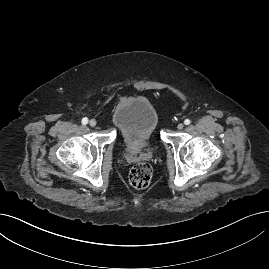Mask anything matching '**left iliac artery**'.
I'll use <instances>...</instances> for the list:
<instances>
[{
  "label": "left iliac artery",
  "mask_w": 269,
  "mask_h": 269,
  "mask_svg": "<svg viewBox=\"0 0 269 269\" xmlns=\"http://www.w3.org/2000/svg\"><path fill=\"white\" fill-rule=\"evenodd\" d=\"M191 123V121L189 120V119H186L185 121H184V124L185 125H189Z\"/></svg>",
  "instance_id": "1"
}]
</instances>
